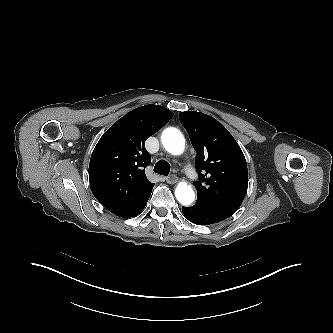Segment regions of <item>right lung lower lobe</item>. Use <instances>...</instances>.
Instances as JSON below:
<instances>
[{
	"instance_id": "obj_1",
	"label": "right lung lower lobe",
	"mask_w": 333,
	"mask_h": 333,
	"mask_svg": "<svg viewBox=\"0 0 333 333\" xmlns=\"http://www.w3.org/2000/svg\"><path fill=\"white\" fill-rule=\"evenodd\" d=\"M148 199H146L138 208H136L127 218L138 215L144 209Z\"/></svg>"
}]
</instances>
